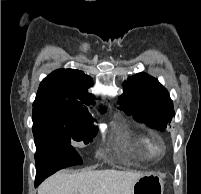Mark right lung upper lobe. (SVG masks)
<instances>
[{"label":"right lung upper lobe","instance_id":"obj_1","mask_svg":"<svg viewBox=\"0 0 201 194\" xmlns=\"http://www.w3.org/2000/svg\"><path fill=\"white\" fill-rule=\"evenodd\" d=\"M93 82L80 70L59 69L41 82L33 106L58 104L75 117L92 119L84 105L92 103L93 95L87 92Z\"/></svg>","mask_w":201,"mask_h":194}]
</instances>
